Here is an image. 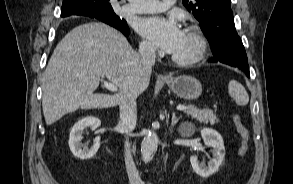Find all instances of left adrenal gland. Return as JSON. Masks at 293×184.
Here are the masks:
<instances>
[{"label":"left adrenal gland","instance_id":"obj_1","mask_svg":"<svg viewBox=\"0 0 293 184\" xmlns=\"http://www.w3.org/2000/svg\"><path fill=\"white\" fill-rule=\"evenodd\" d=\"M181 119V116L180 117H176L175 116V113H173L172 114V120H171V127H174L177 123H178V121Z\"/></svg>","mask_w":293,"mask_h":184}]
</instances>
